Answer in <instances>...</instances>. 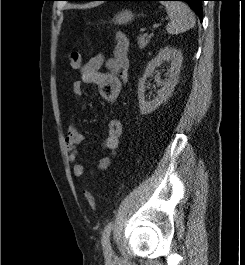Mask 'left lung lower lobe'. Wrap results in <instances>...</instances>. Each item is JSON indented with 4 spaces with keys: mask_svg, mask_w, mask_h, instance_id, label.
I'll list each match as a JSON object with an SVG mask.
<instances>
[{
    "mask_svg": "<svg viewBox=\"0 0 245 265\" xmlns=\"http://www.w3.org/2000/svg\"><path fill=\"white\" fill-rule=\"evenodd\" d=\"M81 1H100V0H81ZM105 1H161V0H105ZM188 3L202 20V1L204 0H178Z\"/></svg>",
    "mask_w": 245,
    "mask_h": 265,
    "instance_id": "0a47b994",
    "label": "left lung lower lobe"
}]
</instances>
